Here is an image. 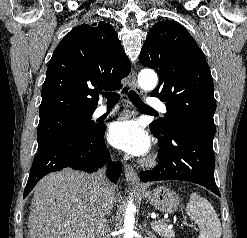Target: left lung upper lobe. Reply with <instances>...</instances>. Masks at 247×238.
Segmentation results:
<instances>
[{"instance_id":"5c2ea615","label":"left lung upper lobe","mask_w":247,"mask_h":238,"mask_svg":"<svg viewBox=\"0 0 247 238\" xmlns=\"http://www.w3.org/2000/svg\"><path fill=\"white\" fill-rule=\"evenodd\" d=\"M139 60L158 72L159 83L151 96L166 103L164 118L150 124L153 134L167 139L176 127H184L213 140L212 76L202 50L187 30L174 21L158 22L149 31Z\"/></svg>"}]
</instances>
